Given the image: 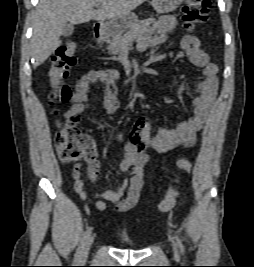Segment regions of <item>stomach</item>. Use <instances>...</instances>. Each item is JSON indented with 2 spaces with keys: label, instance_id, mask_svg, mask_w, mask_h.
Segmentation results:
<instances>
[{
  "label": "stomach",
  "instance_id": "0dacf381",
  "mask_svg": "<svg viewBox=\"0 0 254 267\" xmlns=\"http://www.w3.org/2000/svg\"><path fill=\"white\" fill-rule=\"evenodd\" d=\"M182 2L183 0H152L151 4L155 11L165 14L176 10ZM137 22L138 17L134 13L102 21L99 25V36L104 41H110L111 38L120 37Z\"/></svg>",
  "mask_w": 254,
  "mask_h": 267
}]
</instances>
